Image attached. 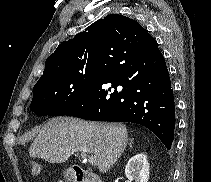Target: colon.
<instances>
[{
  "label": "colon",
  "instance_id": "colon-1",
  "mask_svg": "<svg viewBox=\"0 0 211 182\" xmlns=\"http://www.w3.org/2000/svg\"><path fill=\"white\" fill-rule=\"evenodd\" d=\"M30 172L34 176H38L41 173V165L36 162L30 164Z\"/></svg>",
  "mask_w": 211,
  "mask_h": 182
}]
</instances>
